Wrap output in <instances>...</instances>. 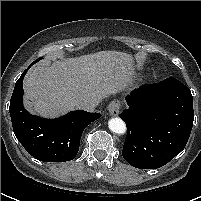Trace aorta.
<instances>
[{"instance_id": "762f6f07", "label": "aorta", "mask_w": 201, "mask_h": 201, "mask_svg": "<svg viewBox=\"0 0 201 201\" xmlns=\"http://www.w3.org/2000/svg\"><path fill=\"white\" fill-rule=\"evenodd\" d=\"M108 126L115 134H124L126 132V124L120 118H111L108 122Z\"/></svg>"}]
</instances>
